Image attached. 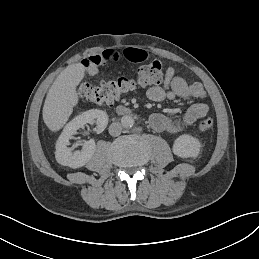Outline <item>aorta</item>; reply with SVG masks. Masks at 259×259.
<instances>
[{
    "label": "aorta",
    "mask_w": 259,
    "mask_h": 259,
    "mask_svg": "<svg viewBox=\"0 0 259 259\" xmlns=\"http://www.w3.org/2000/svg\"><path fill=\"white\" fill-rule=\"evenodd\" d=\"M121 124L124 128H130L134 125V119L132 116L125 115L121 118Z\"/></svg>",
    "instance_id": "aorta-1"
}]
</instances>
